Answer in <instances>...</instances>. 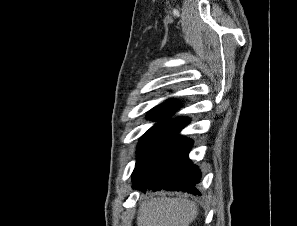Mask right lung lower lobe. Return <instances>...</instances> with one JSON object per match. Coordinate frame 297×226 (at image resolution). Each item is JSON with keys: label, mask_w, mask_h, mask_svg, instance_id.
<instances>
[{"label": "right lung lower lobe", "mask_w": 297, "mask_h": 226, "mask_svg": "<svg viewBox=\"0 0 297 226\" xmlns=\"http://www.w3.org/2000/svg\"><path fill=\"white\" fill-rule=\"evenodd\" d=\"M188 123L187 117H177L165 124L135 167L133 188L144 193L151 189L201 195L195 187L201 172L188 158L192 141L179 135Z\"/></svg>", "instance_id": "1"}]
</instances>
